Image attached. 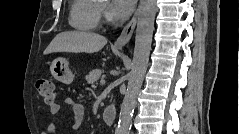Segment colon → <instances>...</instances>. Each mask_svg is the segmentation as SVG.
Listing matches in <instances>:
<instances>
[{
    "label": "colon",
    "mask_w": 239,
    "mask_h": 134,
    "mask_svg": "<svg viewBox=\"0 0 239 134\" xmlns=\"http://www.w3.org/2000/svg\"><path fill=\"white\" fill-rule=\"evenodd\" d=\"M38 94L49 104L54 101V86L50 79L41 77L36 81Z\"/></svg>",
    "instance_id": "obj_1"
}]
</instances>
